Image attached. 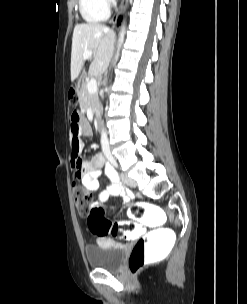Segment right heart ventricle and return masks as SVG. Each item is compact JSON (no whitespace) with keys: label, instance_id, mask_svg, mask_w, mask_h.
Listing matches in <instances>:
<instances>
[{"label":"right heart ventricle","instance_id":"e07e8e85","mask_svg":"<svg viewBox=\"0 0 247 304\" xmlns=\"http://www.w3.org/2000/svg\"><path fill=\"white\" fill-rule=\"evenodd\" d=\"M79 11L87 23H99L108 18V9H106L101 0H79Z\"/></svg>","mask_w":247,"mask_h":304}]
</instances>
